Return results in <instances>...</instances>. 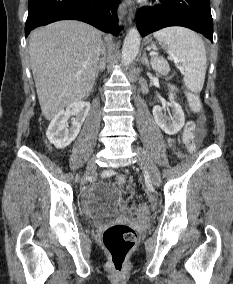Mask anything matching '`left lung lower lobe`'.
<instances>
[{
	"instance_id": "left-lung-lower-lobe-1",
	"label": "left lung lower lobe",
	"mask_w": 233,
	"mask_h": 284,
	"mask_svg": "<svg viewBox=\"0 0 233 284\" xmlns=\"http://www.w3.org/2000/svg\"><path fill=\"white\" fill-rule=\"evenodd\" d=\"M155 7H141L136 24L144 37L169 26H183L202 33L213 42V20L209 0H160Z\"/></svg>"
}]
</instances>
